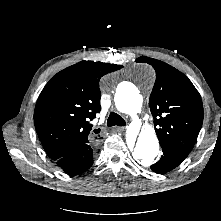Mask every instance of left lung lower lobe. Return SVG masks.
Returning a JSON list of instances; mask_svg holds the SVG:
<instances>
[{"label":"left lung lower lobe","mask_w":221,"mask_h":221,"mask_svg":"<svg viewBox=\"0 0 221 221\" xmlns=\"http://www.w3.org/2000/svg\"><path fill=\"white\" fill-rule=\"evenodd\" d=\"M163 150V155L161 159L151 165V169L159 174L168 172L175 167H177L189 154L186 151L173 148V147H167V146H161Z\"/></svg>","instance_id":"1"}]
</instances>
